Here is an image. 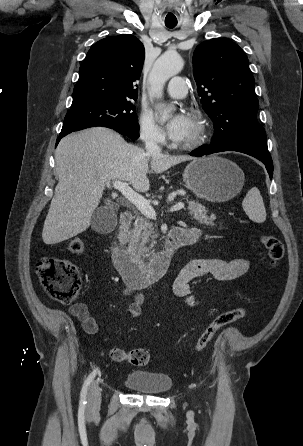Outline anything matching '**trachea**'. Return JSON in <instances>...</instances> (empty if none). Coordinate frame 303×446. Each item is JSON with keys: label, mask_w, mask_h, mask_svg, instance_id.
<instances>
[{"label": "trachea", "mask_w": 303, "mask_h": 446, "mask_svg": "<svg viewBox=\"0 0 303 446\" xmlns=\"http://www.w3.org/2000/svg\"><path fill=\"white\" fill-rule=\"evenodd\" d=\"M165 25H166L168 28L172 29V28H174V27L177 25V23H173V22H165Z\"/></svg>", "instance_id": "1"}]
</instances>
